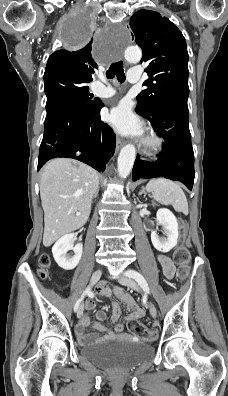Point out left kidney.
<instances>
[{
    "label": "left kidney",
    "mask_w": 228,
    "mask_h": 396,
    "mask_svg": "<svg viewBox=\"0 0 228 396\" xmlns=\"http://www.w3.org/2000/svg\"><path fill=\"white\" fill-rule=\"evenodd\" d=\"M157 220L163 227L164 237H160L155 231L151 233L153 246L160 252L167 253L176 246L178 240V222L174 214L161 208L157 211Z\"/></svg>",
    "instance_id": "5707ae66"
}]
</instances>
